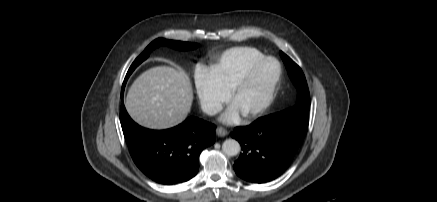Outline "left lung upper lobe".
<instances>
[{
    "label": "left lung upper lobe",
    "instance_id": "left-lung-upper-lobe-1",
    "mask_svg": "<svg viewBox=\"0 0 437 202\" xmlns=\"http://www.w3.org/2000/svg\"><path fill=\"white\" fill-rule=\"evenodd\" d=\"M280 55L287 68L290 79L297 88V104L294 107L300 108L305 112H309L310 108V94L307 86L305 76L300 67L286 54L280 51Z\"/></svg>",
    "mask_w": 437,
    "mask_h": 202
}]
</instances>
